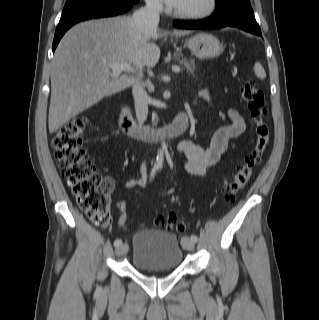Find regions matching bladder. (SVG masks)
Returning a JSON list of instances; mask_svg holds the SVG:
<instances>
[{
    "label": "bladder",
    "instance_id": "1",
    "mask_svg": "<svg viewBox=\"0 0 319 320\" xmlns=\"http://www.w3.org/2000/svg\"><path fill=\"white\" fill-rule=\"evenodd\" d=\"M131 264L137 271H169L183 261V247L172 233L161 229H145L132 237Z\"/></svg>",
    "mask_w": 319,
    "mask_h": 320
}]
</instances>
